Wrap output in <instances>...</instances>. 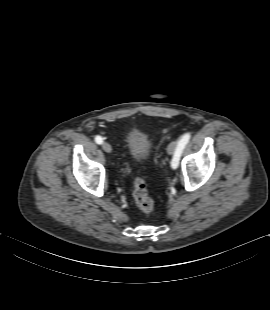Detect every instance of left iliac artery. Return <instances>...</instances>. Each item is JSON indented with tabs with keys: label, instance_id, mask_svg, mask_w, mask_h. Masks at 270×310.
<instances>
[{
	"label": "left iliac artery",
	"instance_id": "obj_1",
	"mask_svg": "<svg viewBox=\"0 0 270 310\" xmlns=\"http://www.w3.org/2000/svg\"><path fill=\"white\" fill-rule=\"evenodd\" d=\"M190 138H191L190 133H186L179 140L178 145H177L176 150H175V153H174V156H173L172 161H171L172 168L175 169L178 167L179 160H180L181 154L183 152V149L185 148L186 144L189 142Z\"/></svg>",
	"mask_w": 270,
	"mask_h": 310
}]
</instances>
